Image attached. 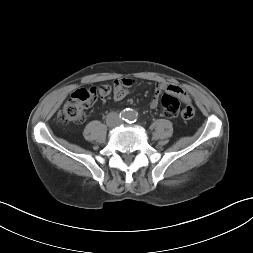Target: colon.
Listing matches in <instances>:
<instances>
[{
	"instance_id": "colon-1",
	"label": "colon",
	"mask_w": 253,
	"mask_h": 253,
	"mask_svg": "<svg viewBox=\"0 0 253 253\" xmlns=\"http://www.w3.org/2000/svg\"><path fill=\"white\" fill-rule=\"evenodd\" d=\"M100 96L98 89L81 88L74 91L58 112V120L63 124H80L85 119V110ZM163 115L175 118L180 114V102L175 94L165 93L161 98Z\"/></svg>"
}]
</instances>
